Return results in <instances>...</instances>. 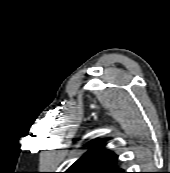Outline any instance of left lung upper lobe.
Here are the masks:
<instances>
[{
    "label": "left lung upper lobe",
    "instance_id": "1",
    "mask_svg": "<svg viewBox=\"0 0 170 173\" xmlns=\"http://www.w3.org/2000/svg\"><path fill=\"white\" fill-rule=\"evenodd\" d=\"M89 151L64 173H124L116 163L118 156L105 148L102 141L89 142Z\"/></svg>",
    "mask_w": 170,
    "mask_h": 173
}]
</instances>
